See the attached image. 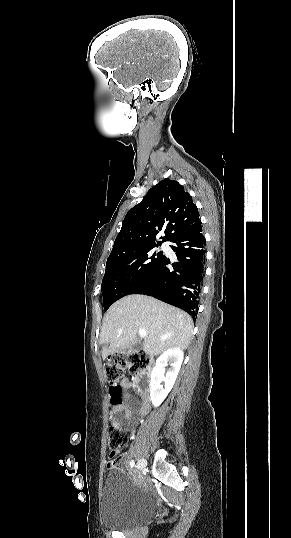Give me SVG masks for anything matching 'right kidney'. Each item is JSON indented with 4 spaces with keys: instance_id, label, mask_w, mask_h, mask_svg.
Returning a JSON list of instances; mask_svg holds the SVG:
<instances>
[{
    "instance_id": "1",
    "label": "right kidney",
    "mask_w": 291,
    "mask_h": 538,
    "mask_svg": "<svg viewBox=\"0 0 291 538\" xmlns=\"http://www.w3.org/2000/svg\"><path fill=\"white\" fill-rule=\"evenodd\" d=\"M182 361L183 351L177 347L167 349L156 360V365L152 370L150 379V399L155 407L161 405L173 388ZM168 362L170 363L171 368L165 374V367ZM162 381L165 382L164 388L161 384Z\"/></svg>"
}]
</instances>
